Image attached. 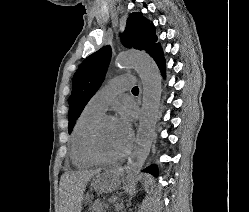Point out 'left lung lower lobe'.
Segmentation results:
<instances>
[{
    "instance_id": "0a47b994",
    "label": "left lung lower lobe",
    "mask_w": 249,
    "mask_h": 212,
    "mask_svg": "<svg viewBox=\"0 0 249 212\" xmlns=\"http://www.w3.org/2000/svg\"><path fill=\"white\" fill-rule=\"evenodd\" d=\"M155 62L157 63L161 73L165 75V60L163 57V52L160 51L155 57H154ZM144 172H148L154 176L158 175V170L155 166H150L147 169L143 170Z\"/></svg>"
}]
</instances>
